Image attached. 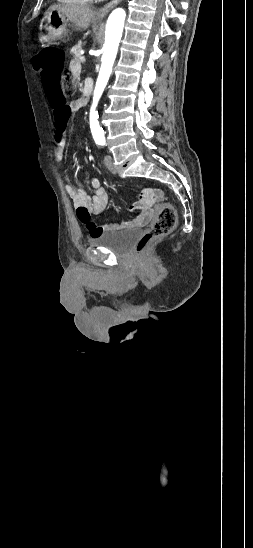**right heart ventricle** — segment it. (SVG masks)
<instances>
[{
	"label": "right heart ventricle",
	"mask_w": 253,
	"mask_h": 548,
	"mask_svg": "<svg viewBox=\"0 0 253 548\" xmlns=\"http://www.w3.org/2000/svg\"><path fill=\"white\" fill-rule=\"evenodd\" d=\"M58 1L66 4H84V3L91 2L92 0H58Z\"/></svg>",
	"instance_id": "obj_1"
}]
</instances>
